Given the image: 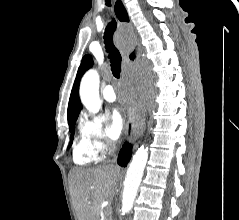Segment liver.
Returning a JSON list of instances; mask_svg holds the SVG:
<instances>
[{"label": "liver", "mask_w": 239, "mask_h": 220, "mask_svg": "<svg viewBox=\"0 0 239 220\" xmlns=\"http://www.w3.org/2000/svg\"><path fill=\"white\" fill-rule=\"evenodd\" d=\"M120 178V168L113 165L70 171L69 184L77 219L100 220L101 205L114 193Z\"/></svg>", "instance_id": "liver-1"}]
</instances>
